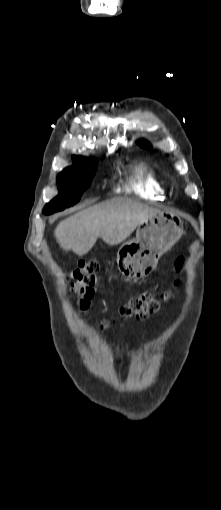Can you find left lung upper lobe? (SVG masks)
I'll use <instances>...</instances> for the list:
<instances>
[{
    "mask_svg": "<svg viewBox=\"0 0 221 510\" xmlns=\"http://www.w3.org/2000/svg\"><path fill=\"white\" fill-rule=\"evenodd\" d=\"M140 146L141 147H144V148H150V144L148 142H145V141H141L139 142Z\"/></svg>",
    "mask_w": 221,
    "mask_h": 510,
    "instance_id": "5c2ea615",
    "label": "left lung upper lobe"
}]
</instances>
